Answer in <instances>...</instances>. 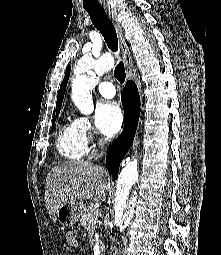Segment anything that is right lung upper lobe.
Segmentation results:
<instances>
[{"label":"right lung upper lobe","instance_id":"obj_1","mask_svg":"<svg viewBox=\"0 0 221 255\" xmlns=\"http://www.w3.org/2000/svg\"><path fill=\"white\" fill-rule=\"evenodd\" d=\"M127 44H128V42H127ZM70 70H71V67L69 65L66 69L64 80L62 81V83L60 85V89L58 91V97H57V103H56V112L60 111L62 101H63V97H64V93H65V89H66V85H67L69 75H70Z\"/></svg>","mask_w":221,"mask_h":255}]
</instances>
